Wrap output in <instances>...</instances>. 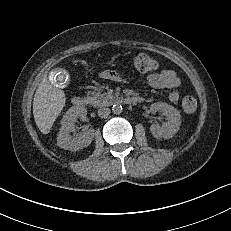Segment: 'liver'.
Returning <instances> with one entry per match:
<instances>
[{
	"label": "liver",
	"mask_w": 231,
	"mask_h": 231,
	"mask_svg": "<svg viewBox=\"0 0 231 231\" xmlns=\"http://www.w3.org/2000/svg\"><path fill=\"white\" fill-rule=\"evenodd\" d=\"M64 91L55 88L47 78H43L33 100V115L35 123L43 134H48L54 121L65 106Z\"/></svg>",
	"instance_id": "obj_1"
}]
</instances>
